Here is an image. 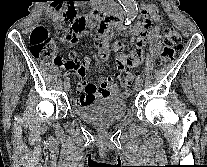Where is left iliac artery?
<instances>
[{"label": "left iliac artery", "instance_id": "obj_1", "mask_svg": "<svg viewBox=\"0 0 207 167\" xmlns=\"http://www.w3.org/2000/svg\"><path fill=\"white\" fill-rule=\"evenodd\" d=\"M136 81H141V82H143V79H142V77H141L140 75H138L137 78H136Z\"/></svg>", "mask_w": 207, "mask_h": 167}]
</instances>
